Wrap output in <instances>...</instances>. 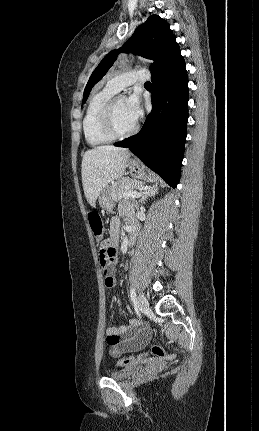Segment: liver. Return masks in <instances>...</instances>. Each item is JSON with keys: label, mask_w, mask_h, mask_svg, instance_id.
Wrapping results in <instances>:
<instances>
[{"label": "liver", "mask_w": 259, "mask_h": 431, "mask_svg": "<svg viewBox=\"0 0 259 431\" xmlns=\"http://www.w3.org/2000/svg\"><path fill=\"white\" fill-rule=\"evenodd\" d=\"M130 156L127 149L109 145L85 152L81 165L82 184L85 197L92 207H95L102 190L124 175Z\"/></svg>", "instance_id": "1"}]
</instances>
